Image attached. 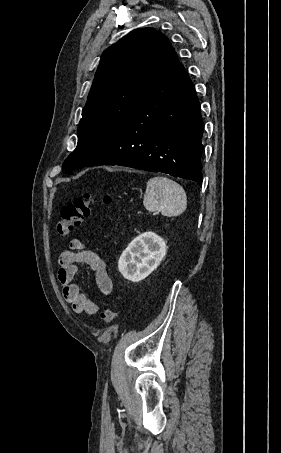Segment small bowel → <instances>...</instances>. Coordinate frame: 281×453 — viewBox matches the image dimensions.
Listing matches in <instances>:
<instances>
[{
  "label": "small bowel",
  "instance_id": "small-bowel-1",
  "mask_svg": "<svg viewBox=\"0 0 281 453\" xmlns=\"http://www.w3.org/2000/svg\"><path fill=\"white\" fill-rule=\"evenodd\" d=\"M78 264L88 265L93 271L96 288L108 294L112 289V282L106 269L107 264L101 255L86 250L77 240L72 242L69 249L62 251L58 258V279L64 299L75 312L97 314L98 306L82 296L73 282Z\"/></svg>",
  "mask_w": 281,
  "mask_h": 453
}]
</instances>
